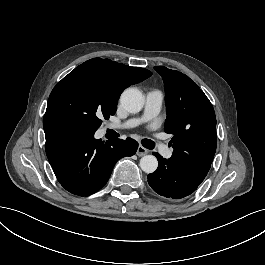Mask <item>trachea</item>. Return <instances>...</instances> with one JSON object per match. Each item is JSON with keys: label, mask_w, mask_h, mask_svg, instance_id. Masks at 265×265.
<instances>
[{"label": "trachea", "mask_w": 265, "mask_h": 265, "mask_svg": "<svg viewBox=\"0 0 265 265\" xmlns=\"http://www.w3.org/2000/svg\"><path fill=\"white\" fill-rule=\"evenodd\" d=\"M142 145L145 146L148 149H152L155 146V143L151 140L148 139H143L142 140Z\"/></svg>", "instance_id": "obj_1"}]
</instances>
